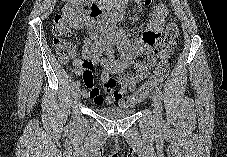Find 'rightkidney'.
I'll return each mask as SVG.
<instances>
[{
	"label": "right kidney",
	"mask_w": 227,
	"mask_h": 157,
	"mask_svg": "<svg viewBox=\"0 0 227 157\" xmlns=\"http://www.w3.org/2000/svg\"><path fill=\"white\" fill-rule=\"evenodd\" d=\"M78 10L75 7L74 3L73 4H67L63 8V15L67 19L70 25L72 26H77L79 24L80 18H78Z\"/></svg>",
	"instance_id": "ca27d5eb"
}]
</instances>
